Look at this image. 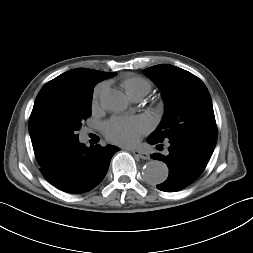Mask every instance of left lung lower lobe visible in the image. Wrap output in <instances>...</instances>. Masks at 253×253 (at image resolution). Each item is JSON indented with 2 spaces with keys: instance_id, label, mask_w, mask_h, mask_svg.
<instances>
[{
  "instance_id": "obj_1",
  "label": "left lung lower lobe",
  "mask_w": 253,
  "mask_h": 253,
  "mask_svg": "<svg viewBox=\"0 0 253 253\" xmlns=\"http://www.w3.org/2000/svg\"><path fill=\"white\" fill-rule=\"evenodd\" d=\"M147 142L161 143L149 137ZM169 143L167 156L153 154L152 158L165 162L169 168L167 180L157 185V188L165 192H174L189 186L201 175L211 158L216 143L187 137L171 139Z\"/></svg>"
}]
</instances>
